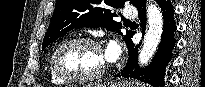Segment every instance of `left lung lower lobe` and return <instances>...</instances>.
Returning <instances> with one entry per match:
<instances>
[{
	"label": "left lung lower lobe",
	"mask_w": 205,
	"mask_h": 87,
	"mask_svg": "<svg viewBox=\"0 0 205 87\" xmlns=\"http://www.w3.org/2000/svg\"><path fill=\"white\" fill-rule=\"evenodd\" d=\"M156 2L162 10L164 25L161 43L159 44V48L154 59L152 60V63L146 68L138 67L137 49L139 45L135 46L134 43L130 40L127 44L129 51L128 63L121 73L116 75V77H130L139 79L142 82L152 85L153 87H164L165 70L168 63L171 61L172 51L176 42L174 33L177 29V26L174 20V9L171 1L156 0ZM135 7L138 10L140 26L144 32L146 27L145 1L139 0Z\"/></svg>",
	"instance_id": "left-lung-lower-lobe-1"
}]
</instances>
